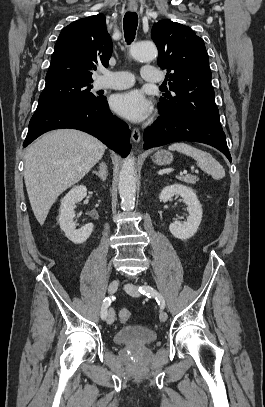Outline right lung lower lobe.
<instances>
[{"label":"right lung lower lobe","instance_id":"right-lung-lower-lobe-1","mask_svg":"<svg viewBox=\"0 0 265 407\" xmlns=\"http://www.w3.org/2000/svg\"><path fill=\"white\" fill-rule=\"evenodd\" d=\"M59 128H73L87 132L122 157H125L131 149L128 125L112 115L105 97H98L89 104L69 106L33 115L23 146L26 147L43 133Z\"/></svg>","mask_w":265,"mask_h":407}]
</instances>
